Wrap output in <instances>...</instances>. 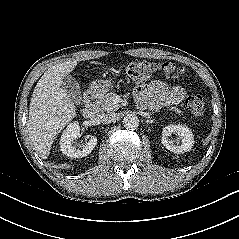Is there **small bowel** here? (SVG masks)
Here are the masks:
<instances>
[{
	"label": "small bowel",
	"mask_w": 239,
	"mask_h": 239,
	"mask_svg": "<svg viewBox=\"0 0 239 239\" xmlns=\"http://www.w3.org/2000/svg\"><path fill=\"white\" fill-rule=\"evenodd\" d=\"M186 92L178 86H170L162 80L140 84L135 88V97L145 107L153 109L177 104L185 98Z\"/></svg>",
	"instance_id": "c3829d8e"
}]
</instances>
